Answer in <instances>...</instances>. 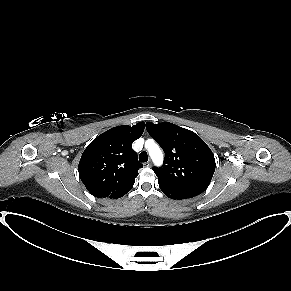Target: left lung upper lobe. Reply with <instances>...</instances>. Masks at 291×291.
Listing matches in <instances>:
<instances>
[{
	"label": "left lung upper lobe",
	"mask_w": 291,
	"mask_h": 291,
	"mask_svg": "<svg viewBox=\"0 0 291 291\" xmlns=\"http://www.w3.org/2000/svg\"><path fill=\"white\" fill-rule=\"evenodd\" d=\"M146 129L165 152L164 164L153 168L159 185L190 197L205 191L216 165L207 144L196 133L170 122H147Z\"/></svg>",
	"instance_id": "1"
}]
</instances>
